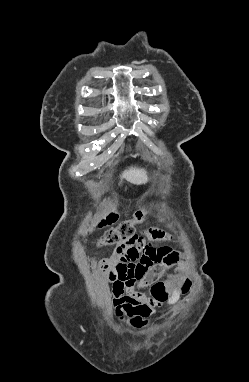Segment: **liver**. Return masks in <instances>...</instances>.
Masks as SVG:
<instances>
[{
	"instance_id": "6515ba94",
	"label": "liver",
	"mask_w": 249,
	"mask_h": 382,
	"mask_svg": "<svg viewBox=\"0 0 249 382\" xmlns=\"http://www.w3.org/2000/svg\"><path fill=\"white\" fill-rule=\"evenodd\" d=\"M122 177L128 182L140 185L148 182L146 170L137 167H130L122 173Z\"/></svg>"
}]
</instances>
